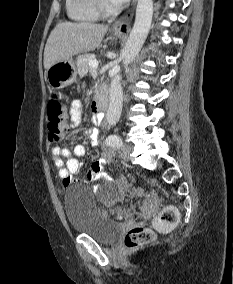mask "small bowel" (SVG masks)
Segmentation results:
<instances>
[{
  "label": "small bowel",
  "mask_w": 233,
  "mask_h": 284,
  "mask_svg": "<svg viewBox=\"0 0 233 284\" xmlns=\"http://www.w3.org/2000/svg\"><path fill=\"white\" fill-rule=\"evenodd\" d=\"M82 106L79 101H73L70 107L71 123L70 126L74 127L79 124ZM104 118V114L98 111H94L93 122L95 124H101ZM92 140H96L98 137V131L96 129H90L84 133ZM74 155L82 157L85 155V147L82 144H77L74 147ZM52 160L55 167L58 170V175L62 179L63 185L68 186L75 182V175L80 170V162L71 156V152L67 148H61L54 146L51 149ZM109 160V153L95 161L89 171L87 172V181H97L101 179L109 180V176L105 171L104 164Z\"/></svg>",
  "instance_id": "1"
}]
</instances>
